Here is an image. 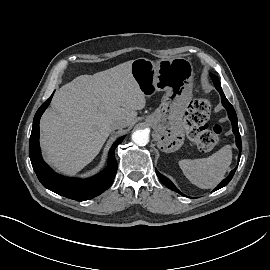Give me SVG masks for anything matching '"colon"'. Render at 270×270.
I'll use <instances>...</instances> for the list:
<instances>
[{
  "label": "colon",
  "instance_id": "colon-1",
  "mask_svg": "<svg viewBox=\"0 0 270 270\" xmlns=\"http://www.w3.org/2000/svg\"><path fill=\"white\" fill-rule=\"evenodd\" d=\"M211 105L206 98H199L190 103L185 118L184 127L187 138L194 143L200 151H210L219 142L223 132L220 124L207 127Z\"/></svg>",
  "mask_w": 270,
  "mask_h": 270
}]
</instances>
